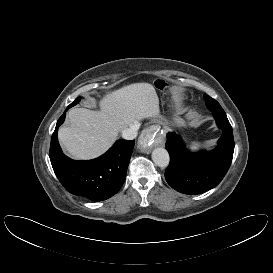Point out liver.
<instances>
[{"label":"liver","instance_id":"6515ba94","mask_svg":"<svg viewBox=\"0 0 273 273\" xmlns=\"http://www.w3.org/2000/svg\"><path fill=\"white\" fill-rule=\"evenodd\" d=\"M100 111L73 108L70 125L58 131L62 146L75 159H93L106 152L118 133L133 123L159 115V99L149 83H134L105 94Z\"/></svg>","mask_w":273,"mask_h":273}]
</instances>
